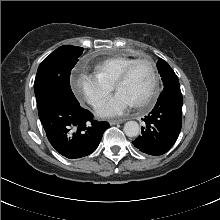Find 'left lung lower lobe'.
I'll return each instance as SVG.
<instances>
[{
  "instance_id": "obj_1",
  "label": "left lung lower lobe",
  "mask_w": 220,
  "mask_h": 220,
  "mask_svg": "<svg viewBox=\"0 0 220 220\" xmlns=\"http://www.w3.org/2000/svg\"><path fill=\"white\" fill-rule=\"evenodd\" d=\"M180 86L164 89L153 110L145 116L142 134L133 141L135 147L149 155H162L176 142L182 126Z\"/></svg>"
}]
</instances>
